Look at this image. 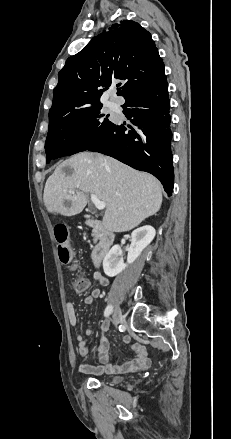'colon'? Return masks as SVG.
<instances>
[{
  "instance_id": "colon-1",
  "label": "colon",
  "mask_w": 231,
  "mask_h": 439,
  "mask_svg": "<svg viewBox=\"0 0 231 439\" xmlns=\"http://www.w3.org/2000/svg\"><path fill=\"white\" fill-rule=\"evenodd\" d=\"M55 238L58 244V256L60 261L65 265H70L72 270H77L73 263V250L68 244V231L65 226L55 228ZM72 287L76 292H85L90 287V282L86 277H79L72 282Z\"/></svg>"
}]
</instances>
